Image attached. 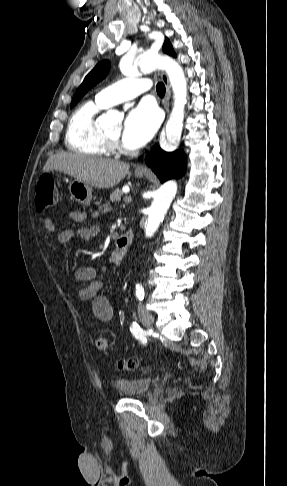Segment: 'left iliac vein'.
I'll list each match as a JSON object with an SVG mask.
<instances>
[{
  "instance_id": "1",
  "label": "left iliac vein",
  "mask_w": 287,
  "mask_h": 486,
  "mask_svg": "<svg viewBox=\"0 0 287 486\" xmlns=\"http://www.w3.org/2000/svg\"><path fill=\"white\" fill-rule=\"evenodd\" d=\"M138 313L141 323L146 326L150 327L154 322L153 315L145 308V306L140 303L138 306Z\"/></svg>"
}]
</instances>
